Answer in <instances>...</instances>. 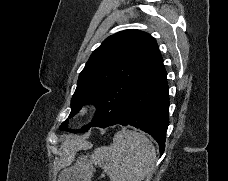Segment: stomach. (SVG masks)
<instances>
[{
	"instance_id": "1",
	"label": "stomach",
	"mask_w": 228,
	"mask_h": 181,
	"mask_svg": "<svg viewBox=\"0 0 228 181\" xmlns=\"http://www.w3.org/2000/svg\"><path fill=\"white\" fill-rule=\"evenodd\" d=\"M95 173L94 161L90 155H79L74 165L61 171L58 181H91Z\"/></svg>"
}]
</instances>
